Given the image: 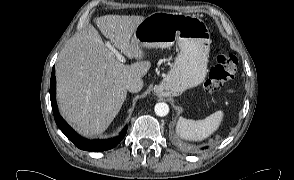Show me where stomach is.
<instances>
[{"label": "stomach", "instance_id": "stomach-1", "mask_svg": "<svg viewBox=\"0 0 294 180\" xmlns=\"http://www.w3.org/2000/svg\"><path fill=\"white\" fill-rule=\"evenodd\" d=\"M134 36L145 48H167L177 43L180 53L164 78L159 93L178 96L202 83L207 73L210 32L195 15L155 12L137 25Z\"/></svg>", "mask_w": 294, "mask_h": 180}]
</instances>
